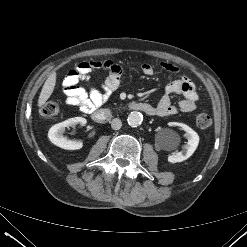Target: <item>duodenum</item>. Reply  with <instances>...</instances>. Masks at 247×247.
Instances as JSON below:
<instances>
[{
	"label": "duodenum",
	"instance_id": "410a0bca",
	"mask_svg": "<svg viewBox=\"0 0 247 247\" xmlns=\"http://www.w3.org/2000/svg\"><path fill=\"white\" fill-rule=\"evenodd\" d=\"M126 108L129 110H135V111L143 112L149 116L156 115L155 107L152 106L151 104L145 103V102L132 101L126 105ZM92 118L97 123L103 124V123H106L109 120H111L112 112H111V110H109L107 108L98 109L92 113Z\"/></svg>",
	"mask_w": 247,
	"mask_h": 247
}]
</instances>
